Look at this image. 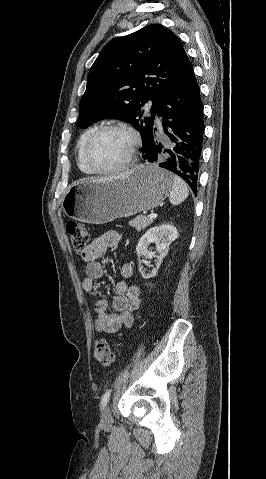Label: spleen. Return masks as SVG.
<instances>
[{
    "instance_id": "obj_1",
    "label": "spleen",
    "mask_w": 266,
    "mask_h": 479,
    "mask_svg": "<svg viewBox=\"0 0 266 479\" xmlns=\"http://www.w3.org/2000/svg\"><path fill=\"white\" fill-rule=\"evenodd\" d=\"M170 192V202L173 205L181 204L189 195V190L185 182L178 176H173L172 188Z\"/></svg>"
}]
</instances>
